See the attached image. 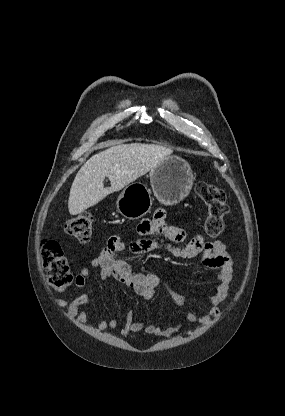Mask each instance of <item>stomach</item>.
Segmentation results:
<instances>
[{"mask_svg": "<svg viewBox=\"0 0 285 416\" xmlns=\"http://www.w3.org/2000/svg\"><path fill=\"white\" fill-rule=\"evenodd\" d=\"M193 182L194 174L188 162L179 156H168L150 172L153 194L164 206H176L187 198ZM151 206V192L140 182L126 186L116 202L117 212L128 220L142 218L150 212Z\"/></svg>", "mask_w": 285, "mask_h": 416, "instance_id": "stomach-1", "label": "stomach"}]
</instances>
